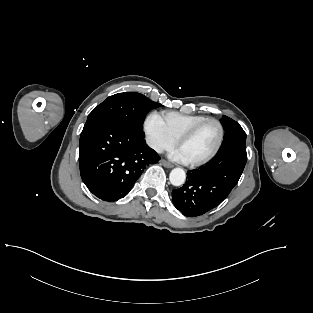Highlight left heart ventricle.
<instances>
[{
  "label": "left heart ventricle",
  "instance_id": "b2bd125f",
  "mask_svg": "<svg viewBox=\"0 0 313 313\" xmlns=\"http://www.w3.org/2000/svg\"><path fill=\"white\" fill-rule=\"evenodd\" d=\"M219 136L218 126L214 122L205 124L193 137L179 146L187 160L196 161L209 155Z\"/></svg>",
  "mask_w": 313,
  "mask_h": 313
}]
</instances>
